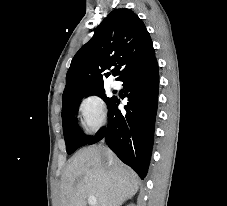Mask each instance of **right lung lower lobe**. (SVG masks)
<instances>
[{
	"label": "right lung lower lobe",
	"mask_w": 227,
	"mask_h": 206,
	"mask_svg": "<svg viewBox=\"0 0 227 206\" xmlns=\"http://www.w3.org/2000/svg\"><path fill=\"white\" fill-rule=\"evenodd\" d=\"M124 84L126 115L118 110L119 100L108 105L109 120L87 144L105 139L109 148L143 179L151 157L157 111L159 72L155 56L130 69L120 80Z\"/></svg>",
	"instance_id": "1"
}]
</instances>
